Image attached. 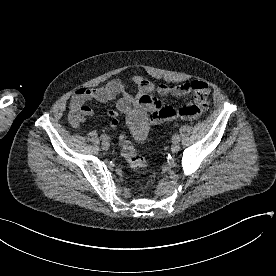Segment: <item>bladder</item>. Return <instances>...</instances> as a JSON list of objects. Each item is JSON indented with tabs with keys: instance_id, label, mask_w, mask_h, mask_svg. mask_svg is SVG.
<instances>
[{
	"instance_id": "1",
	"label": "bladder",
	"mask_w": 276,
	"mask_h": 276,
	"mask_svg": "<svg viewBox=\"0 0 276 276\" xmlns=\"http://www.w3.org/2000/svg\"><path fill=\"white\" fill-rule=\"evenodd\" d=\"M126 126L134 141L143 142L149 133L150 121L145 112H134L126 117Z\"/></svg>"
}]
</instances>
